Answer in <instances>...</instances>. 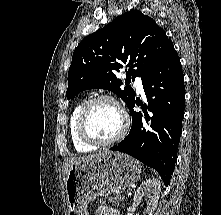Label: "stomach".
<instances>
[{
    "label": "stomach",
    "mask_w": 221,
    "mask_h": 215,
    "mask_svg": "<svg viewBox=\"0 0 221 215\" xmlns=\"http://www.w3.org/2000/svg\"><path fill=\"white\" fill-rule=\"evenodd\" d=\"M140 173L141 164L120 152H104L74 164L65 179L68 215H88L89 202L129 188Z\"/></svg>",
    "instance_id": "obj_1"
}]
</instances>
